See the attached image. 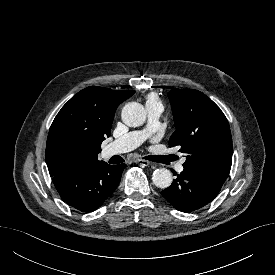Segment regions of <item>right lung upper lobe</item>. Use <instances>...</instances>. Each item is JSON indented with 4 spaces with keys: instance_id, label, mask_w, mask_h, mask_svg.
<instances>
[{
    "instance_id": "obj_1",
    "label": "right lung upper lobe",
    "mask_w": 275,
    "mask_h": 275,
    "mask_svg": "<svg viewBox=\"0 0 275 275\" xmlns=\"http://www.w3.org/2000/svg\"><path fill=\"white\" fill-rule=\"evenodd\" d=\"M134 90L91 86L78 92L59 111L47 138L46 163L50 176L83 169L98 161L101 143L110 136L115 111ZM75 147L77 152L69 153Z\"/></svg>"
}]
</instances>
